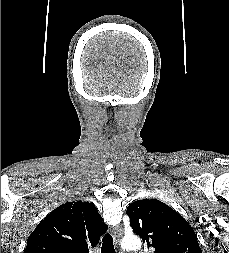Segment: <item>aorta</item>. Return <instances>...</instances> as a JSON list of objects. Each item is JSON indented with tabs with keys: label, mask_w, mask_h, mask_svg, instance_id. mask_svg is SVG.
Masks as SVG:
<instances>
[{
	"label": "aorta",
	"mask_w": 229,
	"mask_h": 253,
	"mask_svg": "<svg viewBox=\"0 0 229 253\" xmlns=\"http://www.w3.org/2000/svg\"><path fill=\"white\" fill-rule=\"evenodd\" d=\"M122 248L125 250H137L141 248V240L138 237H130L122 243Z\"/></svg>",
	"instance_id": "aorta-1"
}]
</instances>
